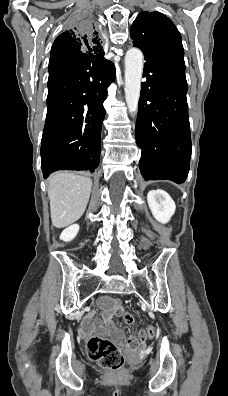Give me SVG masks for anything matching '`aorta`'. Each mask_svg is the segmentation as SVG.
Returning a JSON list of instances; mask_svg holds the SVG:
<instances>
[{"instance_id":"obj_1","label":"aorta","mask_w":228,"mask_h":396,"mask_svg":"<svg viewBox=\"0 0 228 396\" xmlns=\"http://www.w3.org/2000/svg\"><path fill=\"white\" fill-rule=\"evenodd\" d=\"M143 71V54L137 48H131L125 55V100L130 114L138 111Z\"/></svg>"}]
</instances>
